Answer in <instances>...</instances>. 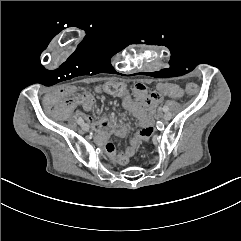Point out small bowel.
<instances>
[{
	"label": "small bowel",
	"instance_id": "obj_1",
	"mask_svg": "<svg viewBox=\"0 0 241 241\" xmlns=\"http://www.w3.org/2000/svg\"><path fill=\"white\" fill-rule=\"evenodd\" d=\"M107 83L108 82L97 85L95 87V91L97 93H106L105 85ZM65 93L66 90L61 88L46 97V100L44 101V108L47 112H49L51 117H54L55 115L57 117H64L71 107L76 108L77 106H80L83 111H89L94 104V97L90 93L79 92L76 88L71 87L67 90V94L72 95L73 99L70 97L67 98L63 109L55 111V107L50 105L51 101L55 100L57 97H61ZM133 93L136 97L135 100L125 98L123 105L125 109L131 112L139 120V129L130 138L129 144L123 152L119 154L115 153L114 145L111 142V136L116 134L119 137H125L129 132L128 126L125 124L115 125L111 119L106 117L98 118L92 121L93 129L97 132L98 141L104 145L111 160L122 165H126L129 162V159L135 154L138 146L143 142L149 141L154 134L155 108L163 96L158 95L155 91H151L147 96V87L143 83L135 84ZM125 94L119 97H123ZM78 111L83 114L81 110ZM85 118L91 121V118L86 115ZM110 147L113 148L112 152L108 151Z\"/></svg>",
	"mask_w": 241,
	"mask_h": 241
}]
</instances>
